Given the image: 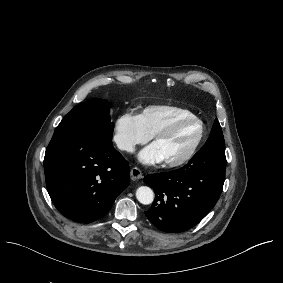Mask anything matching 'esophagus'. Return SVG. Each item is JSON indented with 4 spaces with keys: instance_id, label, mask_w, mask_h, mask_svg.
<instances>
[{
    "instance_id": "34e87169",
    "label": "esophagus",
    "mask_w": 283,
    "mask_h": 283,
    "mask_svg": "<svg viewBox=\"0 0 283 283\" xmlns=\"http://www.w3.org/2000/svg\"><path fill=\"white\" fill-rule=\"evenodd\" d=\"M130 174H131L132 179H135V180H136V179L142 178V172H141V170H140L139 168H137V167H133V168L131 169Z\"/></svg>"
}]
</instances>
